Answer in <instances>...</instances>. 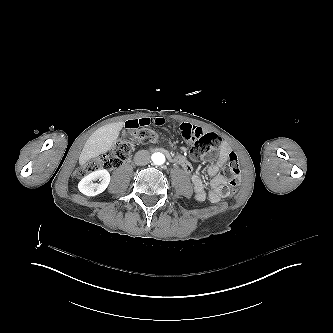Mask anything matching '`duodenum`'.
Wrapping results in <instances>:
<instances>
[{
    "instance_id": "duodenum-1",
    "label": "duodenum",
    "mask_w": 333,
    "mask_h": 333,
    "mask_svg": "<svg viewBox=\"0 0 333 333\" xmlns=\"http://www.w3.org/2000/svg\"><path fill=\"white\" fill-rule=\"evenodd\" d=\"M153 150L154 151L163 152V153H165L168 157H170L173 160V156L168 151H166L165 149H163V148H154Z\"/></svg>"
}]
</instances>
